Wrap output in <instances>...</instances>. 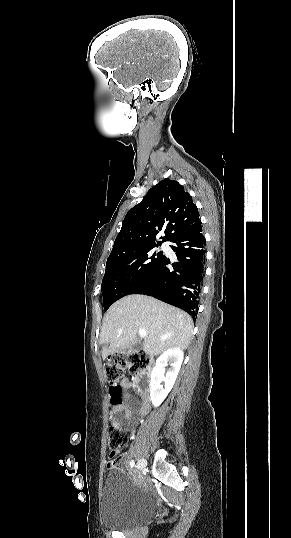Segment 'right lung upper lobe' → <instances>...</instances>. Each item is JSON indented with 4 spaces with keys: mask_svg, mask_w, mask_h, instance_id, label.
I'll return each mask as SVG.
<instances>
[{
    "mask_svg": "<svg viewBox=\"0 0 291 538\" xmlns=\"http://www.w3.org/2000/svg\"><path fill=\"white\" fill-rule=\"evenodd\" d=\"M200 222L198 208L177 181L164 179L152 187L126 214L108 258L147 246L160 245ZM164 229L162 241L156 235Z\"/></svg>",
    "mask_w": 291,
    "mask_h": 538,
    "instance_id": "1",
    "label": "right lung upper lobe"
}]
</instances>
